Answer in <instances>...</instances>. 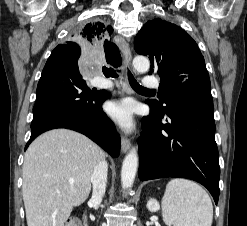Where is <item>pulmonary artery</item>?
Returning <instances> with one entry per match:
<instances>
[{"label": "pulmonary artery", "mask_w": 247, "mask_h": 226, "mask_svg": "<svg viewBox=\"0 0 247 226\" xmlns=\"http://www.w3.org/2000/svg\"><path fill=\"white\" fill-rule=\"evenodd\" d=\"M101 88H112L113 85L109 81H102L99 83ZM143 86L148 89H157L159 87V82L157 79L152 77H146L143 82Z\"/></svg>", "instance_id": "pulmonary-artery-1"}]
</instances>
